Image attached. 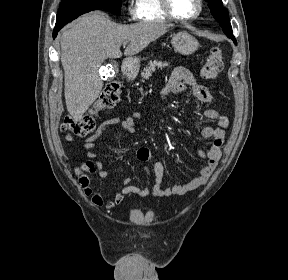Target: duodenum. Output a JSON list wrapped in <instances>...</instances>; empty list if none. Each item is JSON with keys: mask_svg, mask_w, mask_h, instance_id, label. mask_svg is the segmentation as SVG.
<instances>
[{"mask_svg": "<svg viewBox=\"0 0 288 280\" xmlns=\"http://www.w3.org/2000/svg\"><path fill=\"white\" fill-rule=\"evenodd\" d=\"M122 74L127 80L131 79L134 75V69L128 61H124L122 64Z\"/></svg>", "mask_w": 288, "mask_h": 280, "instance_id": "duodenum-1", "label": "duodenum"}]
</instances>
